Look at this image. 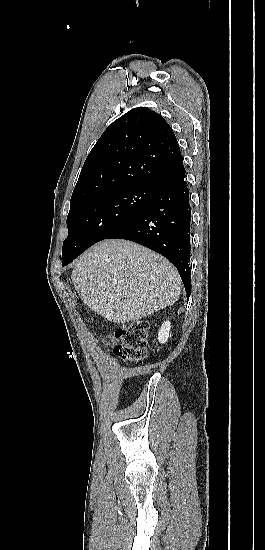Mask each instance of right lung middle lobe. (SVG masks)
Masks as SVG:
<instances>
[{
    "instance_id": "dd1d6c3e",
    "label": "right lung middle lobe",
    "mask_w": 265,
    "mask_h": 550,
    "mask_svg": "<svg viewBox=\"0 0 265 550\" xmlns=\"http://www.w3.org/2000/svg\"><path fill=\"white\" fill-rule=\"evenodd\" d=\"M155 185H139L72 203L67 216L62 265L72 262L91 245L132 222L147 206Z\"/></svg>"
}]
</instances>
